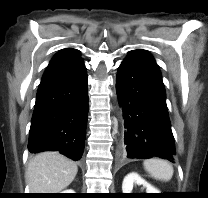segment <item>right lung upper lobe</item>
Returning <instances> with one entry per match:
<instances>
[{"mask_svg":"<svg viewBox=\"0 0 208 198\" xmlns=\"http://www.w3.org/2000/svg\"><path fill=\"white\" fill-rule=\"evenodd\" d=\"M83 60L80 58L79 51L72 48H65L58 52L50 61L46 68V71L42 77V80L63 73Z\"/></svg>","mask_w":208,"mask_h":198,"instance_id":"1","label":"right lung upper lobe"}]
</instances>
